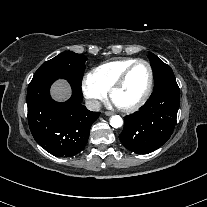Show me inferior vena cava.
<instances>
[{"mask_svg": "<svg viewBox=\"0 0 207 207\" xmlns=\"http://www.w3.org/2000/svg\"><path fill=\"white\" fill-rule=\"evenodd\" d=\"M85 106L90 111H99L101 108V104L98 100H87Z\"/></svg>", "mask_w": 207, "mask_h": 207, "instance_id": "obj_1", "label": "inferior vena cava"}]
</instances>
